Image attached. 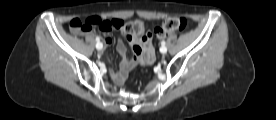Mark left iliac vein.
Returning <instances> with one entry per match:
<instances>
[{"mask_svg":"<svg viewBox=\"0 0 276 120\" xmlns=\"http://www.w3.org/2000/svg\"><path fill=\"white\" fill-rule=\"evenodd\" d=\"M160 51H161V53L165 54V53H167V48L165 46H162L160 48Z\"/></svg>","mask_w":276,"mask_h":120,"instance_id":"left-iliac-vein-1","label":"left iliac vein"}]
</instances>
